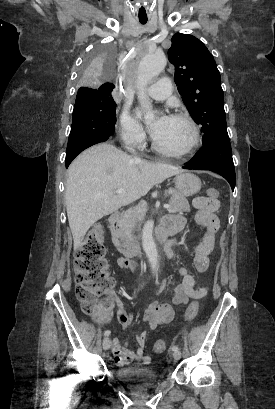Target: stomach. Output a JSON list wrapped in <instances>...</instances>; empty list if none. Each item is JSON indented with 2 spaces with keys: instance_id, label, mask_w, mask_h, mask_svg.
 I'll list each match as a JSON object with an SVG mask.
<instances>
[{
  "instance_id": "obj_1",
  "label": "stomach",
  "mask_w": 275,
  "mask_h": 409,
  "mask_svg": "<svg viewBox=\"0 0 275 409\" xmlns=\"http://www.w3.org/2000/svg\"><path fill=\"white\" fill-rule=\"evenodd\" d=\"M174 182L176 190L184 194V196L196 194L201 188V180L199 176H196L193 172H181V174H176Z\"/></svg>"
}]
</instances>
